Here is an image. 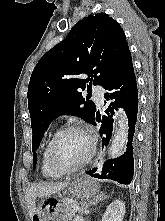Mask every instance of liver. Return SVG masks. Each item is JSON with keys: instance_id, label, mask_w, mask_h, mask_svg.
I'll list each match as a JSON object with an SVG mask.
<instances>
[{"instance_id": "1", "label": "liver", "mask_w": 165, "mask_h": 221, "mask_svg": "<svg viewBox=\"0 0 165 221\" xmlns=\"http://www.w3.org/2000/svg\"><path fill=\"white\" fill-rule=\"evenodd\" d=\"M68 185V181L50 184V183H42L31 186L25 195V200L27 203L28 211L30 217H32L36 211V198L49 196L51 194L57 193L63 190Z\"/></svg>"}]
</instances>
